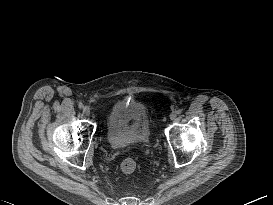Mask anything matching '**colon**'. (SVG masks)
Wrapping results in <instances>:
<instances>
[{
	"mask_svg": "<svg viewBox=\"0 0 273 205\" xmlns=\"http://www.w3.org/2000/svg\"><path fill=\"white\" fill-rule=\"evenodd\" d=\"M136 169V162L132 158L125 159L121 164V170L125 174H131Z\"/></svg>",
	"mask_w": 273,
	"mask_h": 205,
	"instance_id": "obj_1",
	"label": "colon"
}]
</instances>
